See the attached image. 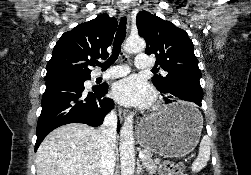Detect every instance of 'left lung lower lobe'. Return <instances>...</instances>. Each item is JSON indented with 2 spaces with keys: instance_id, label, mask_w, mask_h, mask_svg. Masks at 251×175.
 <instances>
[{
  "instance_id": "obj_1",
  "label": "left lung lower lobe",
  "mask_w": 251,
  "mask_h": 175,
  "mask_svg": "<svg viewBox=\"0 0 251 175\" xmlns=\"http://www.w3.org/2000/svg\"><path fill=\"white\" fill-rule=\"evenodd\" d=\"M159 90L166 95L164 98L166 103H171L172 99L190 102L173 110L168 115L170 119L195 120L200 117L203 98V90L200 85L187 80H176L169 83L166 88Z\"/></svg>"
}]
</instances>
